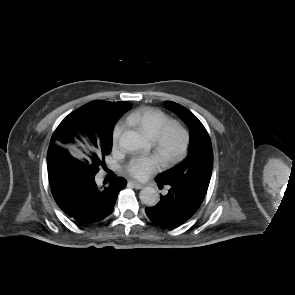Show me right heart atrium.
<instances>
[{
  "instance_id": "obj_1",
  "label": "right heart atrium",
  "mask_w": 295,
  "mask_h": 295,
  "mask_svg": "<svg viewBox=\"0 0 295 295\" xmlns=\"http://www.w3.org/2000/svg\"><path fill=\"white\" fill-rule=\"evenodd\" d=\"M124 130L123 124H117L113 130L112 140L113 144L116 145L121 137V134Z\"/></svg>"
}]
</instances>
